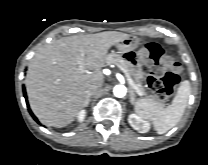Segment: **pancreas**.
<instances>
[{"mask_svg":"<svg viewBox=\"0 0 208 165\" xmlns=\"http://www.w3.org/2000/svg\"><path fill=\"white\" fill-rule=\"evenodd\" d=\"M106 62L108 65L114 64L117 66L124 67L126 70V73L133 81L134 88L138 90L140 95L142 96L146 95L144 87L142 86L141 75L135 70L134 66L130 62H128L127 60L122 58L120 55L115 54V53L109 54ZM147 100H150L157 104L161 103L160 100H157L156 97L152 95L147 96Z\"/></svg>","mask_w":208,"mask_h":165,"instance_id":"pancreas-1","label":"pancreas"}]
</instances>
